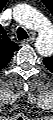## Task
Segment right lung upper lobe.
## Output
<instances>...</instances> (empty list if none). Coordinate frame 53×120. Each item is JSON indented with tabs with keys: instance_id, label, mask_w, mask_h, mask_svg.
<instances>
[{
	"instance_id": "obj_1",
	"label": "right lung upper lobe",
	"mask_w": 53,
	"mask_h": 120,
	"mask_svg": "<svg viewBox=\"0 0 53 120\" xmlns=\"http://www.w3.org/2000/svg\"><path fill=\"white\" fill-rule=\"evenodd\" d=\"M0 39V66L5 67L13 56V52L18 51V45L11 41L2 29Z\"/></svg>"
}]
</instances>
